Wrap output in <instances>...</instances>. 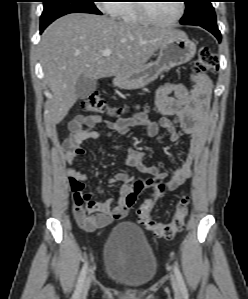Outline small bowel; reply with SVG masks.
Here are the masks:
<instances>
[{"mask_svg": "<svg viewBox=\"0 0 248 299\" xmlns=\"http://www.w3.org/2000/svg\"><path fill=\"white\" fill-rule=\"evenodd\" d=\"M192 90L188 92L181 83H166L156 92L155 104L158 110L164 115H177L181 130L190 138L189 154L185 162L176 167L169 175L160 171L156 167L144 165L143 160L146 153L137 149H130L127 163L144 173L152 174L158 180H164L167 177V186L169 190H176L183 185L191 176L193 165L199 160L202 154L203 143L208 126V103L213 89L211 79L204 74H195L192 77ZM173 95V97L171 96ZM102 120L99 116H78L69 124L67 137L63 142L65 150V162L68 166L78 157L85 155L86 151L81 144L89 139H97L103 136V133L96 130ZM106 128L111 132L121 135H127L130 128L135 126L145 127L150 135L159 132L160 127L165 128L169 133L171 142L179 140V132L170 118L163 117L159 123L150 120L144 114H135L131 116H120L105 123ZM71 190L76 189V183L84 182L86 174L79 169L68 171ZM131 177L127 173L115 175L111 181H120L123 183L120 189V196L116 205L113 207V199L98 201L92 199V192H85L90 200L93 213L87 217L74 215L78 225L86 232H94L108 226L115 219H122L126 216L128 207L124 204V194L129 190Z\"/></svg>", "mask_w": 248, "mask_h": 299, "instance_id": "c3829d8e", "label": "small bowel"}]
</instances>
